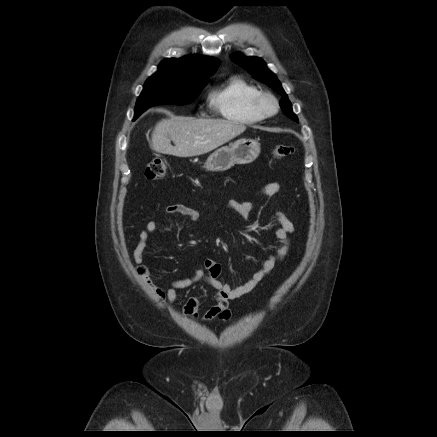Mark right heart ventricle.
Masks as SVG:
<instances>
[{
	"instance_id": "1",
	"label": "right heart ventricle",
	"mask_w": 437,
	"mask_h": 437,
	"mask_svg": "<svg viewBox=\"0 0 437 437\" xmlns=\"http://www.w3.org/2000/svg\"><path fill=\"white\" fill-rule=\"evenodd\" d=\"M259 93L256 86L234 76L210 91V106L231 122L246 125L259 123L264 118L253 104Z\"/></svg>"
}]
</instances>
